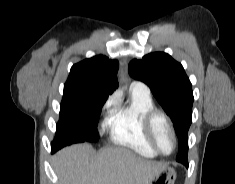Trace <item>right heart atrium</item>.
I'll return each mask as SVG.
<instances>
[{
    "label": "right heart atrium",
    "instance_id": "d8ad5b80",
    "mask_svg": "<svg viewBox=\"0 0 235 184\" xmlns=\"http://www.w3.org/2000/svg\"><path fill=\"white\" fill-rule=\"evenodd\" d=\"M119 97L116 93L111 94L102 105L103 118L99 124V134L102 136L110 129L112 122V113L117 108Z\"/></svg>",
    "mask_w": 235,
    "mask_h": 184
}]
</instances>
